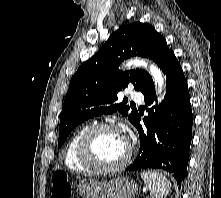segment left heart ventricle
Returning <instances> with one entry per match:
<instances>
[{"label": "left heart ventricle", "mask_w": 221, "mask_h": 198, "mask_svg": "<svg viewBox=\"0 0 221 198\" xmlns=\"http://www.w3.org/2000/svg\"><path fill=\"white\" fill-rule=\"evenodd\" d=\"M127 152V142L118 131L99 132L93 141V154L103 165H114L120 162Z\"/></svg>", "instance_id": "b2bd125f"}]
</instances>
